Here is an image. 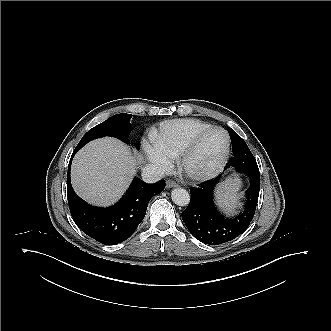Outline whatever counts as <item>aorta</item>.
Wrapping results in <instances>:
<instances>
[{"mask_svg":"<svg viewBox=\"0 0 331 331\" xmlns=\"http://www.w3.org/2000/svg\"><path fill=\"white\" fill-rule=\"evenodd\" d=\"M172 201L178 206H187L190 202V194L183 188H175L171 192Z\"/></svg>","mask_w":331,"mask_h":331,"instance_id":"762f6f07","label":"aorta"}]
</instances>
